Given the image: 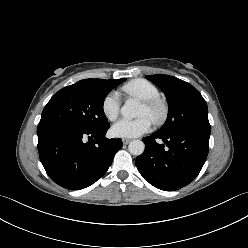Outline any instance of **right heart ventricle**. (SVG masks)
Returning <instances> with one entry per match:
<instances>
[{
    "mask_svg": "<svg viewBox=\"0 0 248 248\" xmlns=\"http://www.w3.org/2000/svg\"><path fill=\"white\" fill-rule=\"evenodd\" d=\"M122 91L131 97H136L140 100H149L160 98L159 89L146 79H134L126 83L122 87Z\"/></svg>",
    "mask_w": 248,
    "mask_h": 248,
    "instance_id": "right-heart-ventricle-1",
    "label": "right heart ventricle"
}]
</instances>
